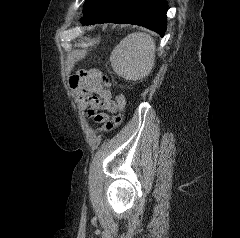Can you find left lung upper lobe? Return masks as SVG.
Returning <instances> with one entry per match:
<instances>
[{
  "label": "left lung upper lobe",
  "mask_w": 240,
  "mask_h": 238,
  "mask_svg": "<svg viewBox=\"0 0 240 238\" xmlns=\"http://www.w3.org/2000/svg\"><path fill=\"white\" fill-rule=\"evenodd\" d=\"M91 1H92V0H86V1H85L83 12L85 11V9L87 8V6L89 5V3H90Z\"/></svg>",
  "instance_id": "5c2ea615"
}]
</instances>
